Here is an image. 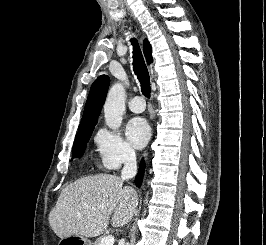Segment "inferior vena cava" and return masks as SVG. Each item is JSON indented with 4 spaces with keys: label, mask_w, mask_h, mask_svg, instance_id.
Instances as JSON below:
<instances>
[{
    "label": "inferior vena cava",
    "mask_w": 266,
    "mask_h": 245,
    "mask_svg": "<svg viewBox=\"0 0 266 245\" xmlns=\"http://www.w3.org/2000/svg\"><path fill=\"white\" fill-rule=\"evenodd\" d=\"M136 173H137L136 155L134 151H128V153H126L124 167L121 171V179L122 181H126V179H133Z\"/></svg>",
    "instance_id": "obj_1"
}]
</instances>
